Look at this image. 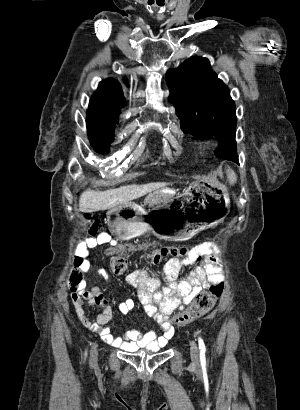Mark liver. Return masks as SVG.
<instances>
[{"label": "liver", "mask_w": 300, "mask_h": 410, "mask_svg": "<svg viewBox=\"0 0 300 410\" xmlns=\"http://www.w3.org/2000/svg\"><path fill=\"white\" fill-rule=\"evenodd\" d=\"M166 185L167 183L126 185L115 189H108L106 191L87 189L80 196V211L91 213L111 209L120 204L142 197Z\"/></svg>", "instance_id": "liver-1"}]
</instances>
